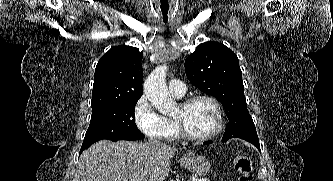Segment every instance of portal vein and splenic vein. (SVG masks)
I'll return each mask as SVG.
<instances>
[{
    "label": "portal vein and splenic vein",
    "instance_id": "18ae733b",
    "mask_svg": "<svg viewBox=\"0 0 333 181\" xmlns=\"http://www.w3.org/2000/svg\"><path fill=\"white\" fill-rule=\"evenodd\" d=\"M192 181H206V180H204V179H195V178H193Z\"/></svg>",
    "mask_w": 333,
    "mask_h": 181
}]
</instances>
